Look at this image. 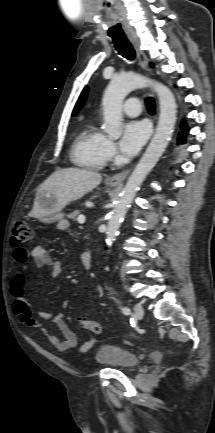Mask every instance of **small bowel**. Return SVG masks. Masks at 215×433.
Segmentation results:
<instances>
[{
  "label": "small bowel",
  "mask_w": 215,
  "mask_h": 433,
  "mask_svg": "<svg viewBox=\"0 0 215 433\" xmlns=\"http://www.w3.org/2000/svg\"><path fill=\"white\" fill-rule=\"evenodd\" d=\"M64 227H67L65 225ZM31 256L39 267L49 266L51 269V276L57 278L63 271L62 264L58 261H53L48 251L42 245H36L31 251ZM14 259L19 264L18 270L13 274L10 283L9 291L15 299L13 304L14 313L20 320L30 327H40L37 318L48 320L54 324L63 336L60 339L56 334L48 332L43 329L49 343L59 352H66L72 348L78 347L80 352H87L94 344L95 339H90L80 346L77 344V336L65 323L62 314L55 312H46L36 310L32 304L26 299V279H27V266L28 252L23 248H16L14 250Z\"/></svg>",
  "instance_id": "1"
}]
</instances>
